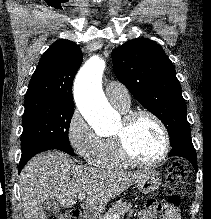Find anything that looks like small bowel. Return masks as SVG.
Listing matches in <instances>:
<instances>
[{"label": "small bowel", "instance_id": "1", "mask_svg": "<svg viewBox=\"0 0 211 219\" xmlns=\"http://www.w3.org/2000/svg\"><path fill=\"white\" fill-rule=\"evenodd\" d=\"M138 219H180L177 209L165 206L155 200H149L139 213Z\"/></svg>", "mask_w": 211, "mask_h": 219}]
</instances>
